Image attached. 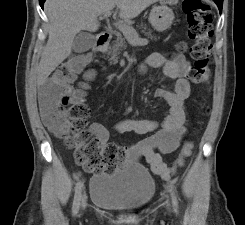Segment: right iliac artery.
<instances>
[{"label":"right iliac artery","instance_id":"1","mask_svg":"<svg viewBox=\"0 0 245 225\" xmlns=\"http://www.w3.org/2000/svg\"><path fill=\"white\" fill-rule=\"evenodd\" d=\"M82 188H83V181L80 180L77 183L76 188H75V195H74V201H73V207H72L73 215H76L79 211Z\"/></svg>","mask_w":245,"mask_h":225}]
</instances>
